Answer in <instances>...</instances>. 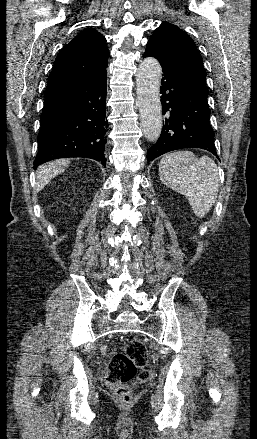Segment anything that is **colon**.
Returning a JSON list of instances; mask_svg holds the SVG:
<instances>
[{
  "label": "colon",
  "mask_w": 257,
  "mask_h": 439,
  "mask_svg": "<svg viewBox=\"0 0 257 439\" xmlns=\"http://www.w3.org/2000/svg\"><path fill=\"white\" fill-rule=\"evenodd\" d=\"M147 363L148 351L139 340L129 341L122 352L113 356L106 380L120 401L131 400V390L127 384L137 376L139 370L140 380H147L150 377V372L146 369Z\"/></svg>",
  "instance_id": "5ec220e1"
}]
</instances>
